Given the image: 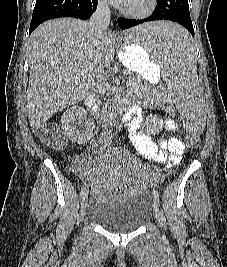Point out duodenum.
Masks as SVG:
<instances>
[{"label":"duodenum","instance_id":"obj_1","mask_svg":"<svg viewBox=\"0 0 227 267\" xmlns=\"http://www.w3.org/2000/svg\"><path fill=\"white\" fill-rule=\"evenodd\" d=\"M86 104H87L88 108L90 109V111L96 117L103 118L105 116L104 113L99 108L94 94H92V93L88 94V96L86 97Z\"/></svg>","mask_w":227,"mask_h":267}]
</instances>
